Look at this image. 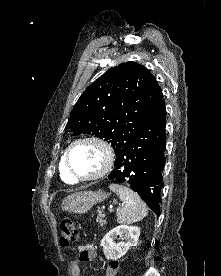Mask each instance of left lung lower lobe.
<instances>
[{"mask_svg":"<svg viewBox=\"0 0 221 276\" xmlns=\"http://www.w3.org/2000/svg\"><path fill=\"white\" fill-rule=\"evenodd\" d=\"M166 110L147 121L138 133L116 153L115 169L108 180L128 185L151 210L159 214L165 165Z\"/></svg>","mask_w":221,"mask_h":276,"instance_id":"obj_1","label":"left lung lower lobe"}]
</instances>
